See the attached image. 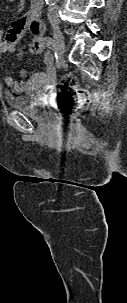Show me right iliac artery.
I'll return each mask as SVG.
<instances>
[{
	"label": "right iliac artery",
	"mask_w": 127,
	"mask_h": 303,
	"mask_svg": "<svg viewBox=\"0 0 127 303\" xmlns=\"http://www.w3.org/2000/svg\"><path fill=\"white\" fill-rule=\"evenodd\" d=\"M46 45L49 49H53L55 47L54 40L51 37H46Z\"/></svg>",
	"instance_id": "1"
}]
</instances>
